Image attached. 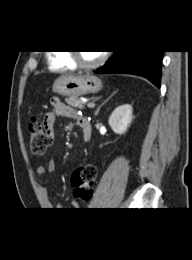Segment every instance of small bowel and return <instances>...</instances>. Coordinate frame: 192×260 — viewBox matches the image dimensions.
Here are the masks:
<instances>
[{
    "mask_svg": "<svg viewBox=\"0 0 192 260\" xmlns=\"http://www.w3.org/2000/svg\"><path fill=\"white\" fill-rule=\"evenodd\" d=\"M51 110L46 113L43 121V125L47 132L50 134L51 138L54 137V122L56 117L72 118L79 124L81 120L86 119L80 116L72 107L65 104L60 98L52 97L50 99ZM87 120V119H86ZM55 171V162L53 159H48L44 166L37 168V173L40 176L53 174ZM42 192L45 194L46 190L42 187ZM72 205L74 208H80V202L78 200H73Z\"/></svg>",
    "mask_w": 192,
    "mask_h": 260,
    "instance_id": "1",
    "label": "small bowel"
}]
</instances>
